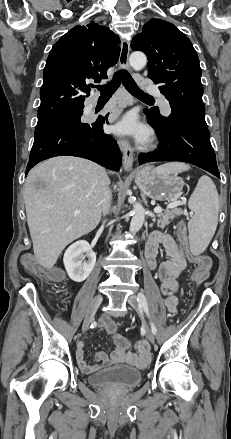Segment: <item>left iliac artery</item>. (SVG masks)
<instances>
[{"mask_svg":"<svg viewBox=\"0 0 231 439\" xmlns=\"http://www.w3.org/2000/svg\"><path fill=\"white\" fill-rule=\"evenodd\" d=\"M137 299H138L140 307L144 309L146 315L150 319L149 308H148V304H147V300H146L145 295L142 292H139L138 296H137ZM150 325H151L152 333L156 334L157 329H156L154 323L151 321V319H150Z\"/></svg>","mask_w":231,"mask_h":439,"instance_id":"left-iliac-artery-1","label":"left iliac artery"}]
</instances>
